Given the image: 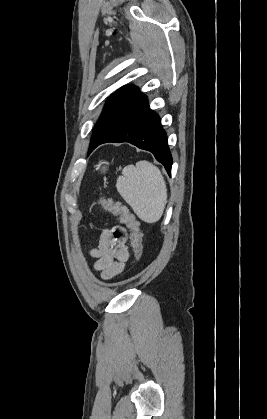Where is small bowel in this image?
Masks as SVG:
<instances>
[{
    "mask_svg": "<svg viewBox=\"0 0 267 419\" xmlns=\"http://www.w3.org/2000/svg\"><path fill=\"white\" fill-rule=\"evenodd\" d=\"M126 240L125 229L117 226L104 230L97 247L90 250L95 259L94 269L100 272L101 279L109 280L123 272L129 257Z\"/></svg>",
    "mask_w": 267,
    "mask_h": 419,
    "instance_id": "c3829d8e",
    "label": "small bowel"
}]
</instances>
